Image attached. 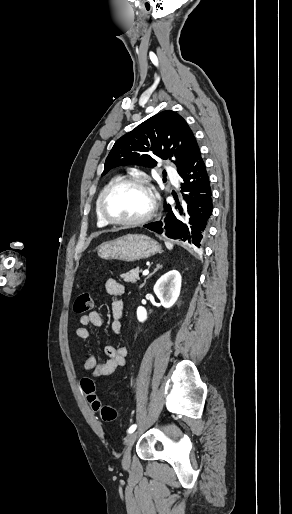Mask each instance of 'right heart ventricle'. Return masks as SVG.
<instances>
[{"label":"right heart ventricle","mask_w":292,"mask_h":514,"mask_svg":"<svg viewBox=\"0 0 292 514\" xmlns=\"http://www.w3.org/2000/svg\"><path fill=\"white\" fill-rule=\"evenodd\" d=\"M105 188V187H104ZM103 188V189H104ZM103 189L98 193L97 197H96V200H95V215H96V222H97V225L99 227H106L108 225V222H106L102 216L100 215L99 211H98V199H99V196L101 194V192L103 191Z\"/></svg>","instance_id":"1"}]
</instances>
